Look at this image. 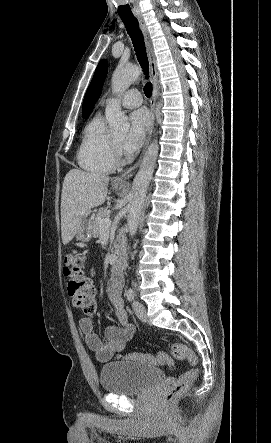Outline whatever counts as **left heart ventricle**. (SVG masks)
<instances>
[{
	"mask_svg": "<svg viewBox=\"0 0 271 443\" xmlns=\"http://www.w3.org/2000/svg\"><path fill=\"white\" fill-rule=\"evenodd\" d=\"M124 137H125V134H124V133H120V134H116V135H114V138L116 139V141H117L119 144L122 143Z\"/></svg>",
	"mask_w": 271,
	"mask_h": 443,
	"instance_id": "obj_1",
	"label": "left heart ventricle"
}]
</instances>
